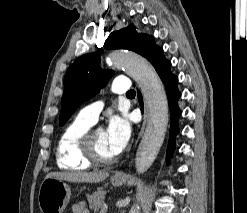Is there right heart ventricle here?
<instances>
[{
    "instance_id": "right-heart-ventricle-1",
    "label": "right heart ventricle",
    "mask_w": 247,
    "mask_h": 213,
    "mask_svg": "<svg viewBox=\"0 0 247 213\" xmlns=\"http://www.w3.org/2000/svg\"><path fill=\"white\" fill-rule=\"evenodd\" d=\"M93 124L79 117L61 132L56 147V162L60 169L84 171L90 168L79 153V139Z\"/></svg>"
}]
</instances>
